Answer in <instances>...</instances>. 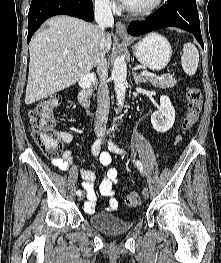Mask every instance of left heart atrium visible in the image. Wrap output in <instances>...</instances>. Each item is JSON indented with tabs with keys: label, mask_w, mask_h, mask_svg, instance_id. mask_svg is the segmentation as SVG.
<instances>
[{
	"label": "left heart atrium",
	"mask_w": 221,
	"mask_h": 263,
	"mask_svg": "<svg viewBox=\"0 0 221 263\" xmlns=\"http://www.w3.org/2000/svg\"><path fill=\"white\" fill-rule=\"evenodd\" d=\"M124 4H128L130 0H121Z\"/></svg>",
	"instance_id": "left-heart-atrium-1"
}]
</instances>
